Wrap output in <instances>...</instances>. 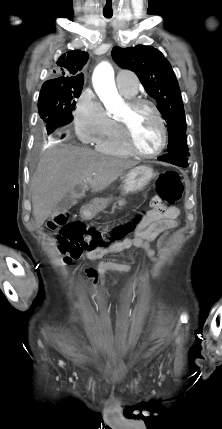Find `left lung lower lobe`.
Instances as JSON below:
<instances>
[{"label":"left lung lower lobe","mask_w":222,"mask_h":429,"mask_svg":"<svg viewBox=\"0 0 222 429\" xmlns=\"http://www.w3.org/2000/svg\"><path fill=\"white\" fill-rule=\"evenodd\" d=\"M159 160L171 163L179 167H188L189 166V156H185L179 153H168L163 156L158 157Z\"/></svg>","instance_id":"1"}]
</instances>
